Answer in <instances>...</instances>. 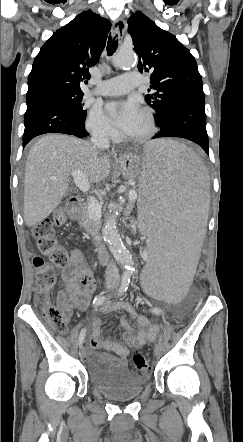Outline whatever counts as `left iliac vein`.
Returning <instances> with one entry per match:
<instances>
[{
	"label": "left iliac vein",
	"mask_w": 243,
	"mask_h": 442,
	"mask_svg": "<svg viewBox=\"0 0 243 442\" xmlns=\"http://www.w3.org/2000/svg\"><path fill=\"white\" fill-rule=\"evenodd\" d=\"M161 353H162V347L159 343H157L154 347V354L156 357H160Z\"/></svg>",
	"instance_id": "1"
}]
</instances>
